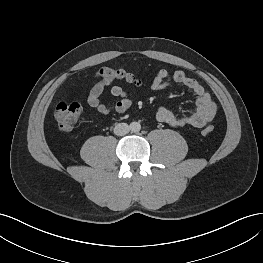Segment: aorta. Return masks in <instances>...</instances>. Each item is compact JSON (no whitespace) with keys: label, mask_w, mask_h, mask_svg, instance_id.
<instances>
[{"label":"aorta","mask_w":263,"mask_h":263,"mask_svg":"<svg viewBox=\"0 0 263 263\" xmlns=\"http://www.w3.org/2000/svg\"><path fill=\"white\" fill-rule=\"evenodd\" d=\"M130 129H131V131L132 132H139L140 131V129H141V125H140V123L139 122H132L131 124H130Z\"/></svg>","instance_id":"1"}]
</instances>
